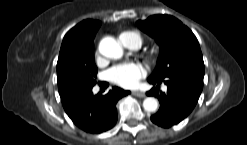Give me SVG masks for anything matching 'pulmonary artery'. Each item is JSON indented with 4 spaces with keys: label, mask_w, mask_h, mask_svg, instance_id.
I'll return each mask as SVG.
<instances>
[{
    "label": "pulmonary artery",
    "mask_w": 247,
    "mask_h": 145,
    "mask_svg": "<svg viewBox=\"0 0 247 145\" xmlns=\"http://www.w3.org/2000/svg\"><path fill=\"white\" fill-rule=\"evenodd\" d=\"M120 40L124 46L132 50H137L141 46L139 38L134 35H123Z\"/></svg>",
    "instance_id": "1"
}]
</instances>
